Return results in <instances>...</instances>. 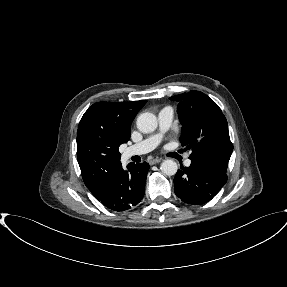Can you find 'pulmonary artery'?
<instances>
[{
  "mask_svg": "<svg viewBox=\"0 0 287 287\" xmlns=\"http://www.w3.org/2000/svg\"><path fill=\"white\" fill-rule=\"evenodd\" d=\"M173 120V110L170 107H165L158 113L159 131L156 134L149 136L143 141L128 147L124 151V157L129 158L134 155L145 154L153 150L161 140L162 134L168 130ZM191 161H185L186 166H190Z\"/></svg>",
  "mask_w": 287,
  "mask_h": 287,
  "instance_id": "pulmonary-artery-1",
  "label": "pulmonary artery"
}]
</instances>
